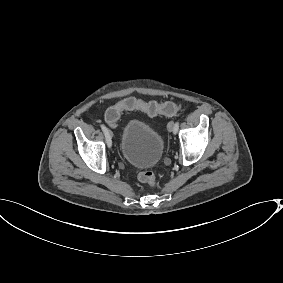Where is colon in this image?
<instances>
[{"instance_id":"5ec220e1","label":"colon","mask_w":283,"mask_h":283,"mask_svg":"<svg viewBox=\"0 0 283 283\" xmlns=\"http://www.w3.org/2000/svg\"><path fill=\"white\" fill-rule=\"evenodd\" d=\"M180 108L181 106L174 102H165L159 104L154 101L144 102L143 100L130 97L109 108L105 114V121L110 127H116L120 115L124 111L139 110L151 116L157 114L171 116L176 114L180 110ZM137 177L140 182L146 183L150 186H154L156 184V177L152 171H140L138 172Z\"/></svg>"}]
</instances>
